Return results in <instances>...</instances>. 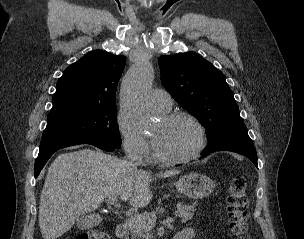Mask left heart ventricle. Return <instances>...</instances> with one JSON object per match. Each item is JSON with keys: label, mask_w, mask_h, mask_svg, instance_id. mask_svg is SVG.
Instances as JSON below:
<instances>
[{"label": "left heart ventricle", "mask_w": 304, "mask_h": 239, "mask_svg": "<svg viewBox=\"0 0 304 239\" xmlns=\"http://www.w3.org/2000/svg\"><path fill=\"white\" fill-rule=\"evenodd\" d=\"M157 152L165 157H182L191 153L198 143L195 126L184 119L166 123L163 119L152 132Z\"/></svg>", "instance_id": "left-heart-ventricle-1"}]
</instances>
